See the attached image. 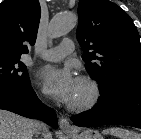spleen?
I'll return each instance as SVG.
<instances>
[{
    "instance_id": "1",
    "label": "spleen",
    "mask_w": 141,
    "mask_h": 139,
    "mask_svg": "<svg viewBox=\"0 0 141 139\" xmlns=\"http://www.w3.org/2000/svg\"><path fill=\"white\" fill-rule=\"evenodd\" d=\"M103 133L116 136L118 139H141V134L123 128H108Z\"/></svg>"
}]
</instances>
